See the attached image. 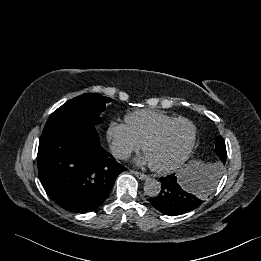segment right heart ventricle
Listing matches in <instances>:
<instances>
[{"label":"right heart ventricle","instance_id":"1","mask_svg":"<svg viewBox=\"0 0 261 261\" xmlns=\"http://www.w3.org/2000/svg\"><path fill=\"white\" fill-rule=\"evenodd\" d=\"M175 117L159 110L141 109L125 116V123L135 139L140 143L146 140L158 127Z\"/></svg>","mask_w":261,"mask_h":261}]
</instances>
